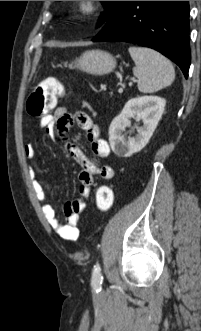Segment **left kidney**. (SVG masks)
<instances>
[{"label":"left kidney","instance_id":"left-kidney-1","mask_svg":"<svg viewBox=\"0 0 201 331\" xmlns=\"http://www.w3.org/2000/svg\"><path fill=\"white\" fill-rule=\"evenodd\" d=\"M166 101L158 96L130 99L109 127V142L113 152L120 157H130L141 151L149 142L164 111ZM130 118L142 120L135 137L124 138L123 131L130 126Z\"/></svg>","mask_w":201,"mask_h":331}]
</instances>
